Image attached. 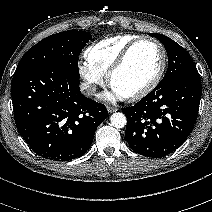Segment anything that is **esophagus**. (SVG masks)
<instances>
[{"instance_id": "esophagus-1", "label": "esophagus", "mask_w": 212, "mask_h": 212, "mask_svg": "<svg viewBox=\"0 0 212 212\" xmlns=\"http://www.w3.org/2000/svg\"><path fill=\"white\" fill-rule=\"evenodd\" d=\"M107 110H108L109 113H113V112H116L117 111V108L108 106L107 107Z\"/></svg>"}]
</instances>
